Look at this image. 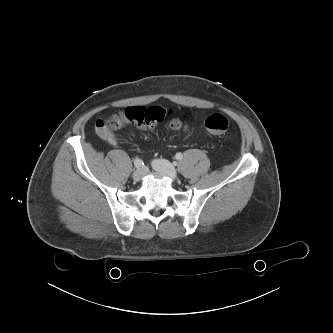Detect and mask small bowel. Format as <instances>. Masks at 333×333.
<instances>
[{"mask_svg": "<svg viewBox=\"0 0 333 333\" xmlns=\"http://www.w3.org/2000/svg\"><path fill=\"white\" fill-rule=\"evenodd\" d=\"M123 115L125 117L124 123H129L137 126L142 130L152 131L157 125L163 123L166 119L167 112L161 107H129L124 110ZM112 144L116 143L113 136L108 138Z\"/></svg>", "mask_w": 333, "mask_h": 333, "instance_id": "obj_1", "label": "small bowel"}]
</instances>
